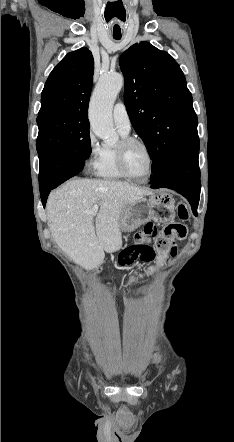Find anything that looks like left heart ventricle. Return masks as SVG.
<instances>
[{
	"instance_id": "left-heart-ventricle-1",
	"label": "left heart ventricle",
	"mask_w": 234,
	"mask_h": 442,
	"mask_svg": "<svg viewBox=\"0 0 234 442\" xmlns=\"http://www.w3.org/2000/svg\"><path fill=\"white\" fill-rule=\"evenodd\" d=\"M126 163L131 174L144 177L149 170V160L146 151L140 145H131L126 153Z\"/></svg>"
}]
</instances>
